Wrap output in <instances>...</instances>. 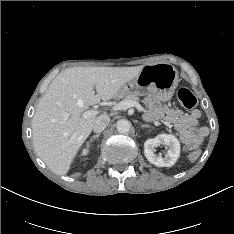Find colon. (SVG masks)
Returning a JSON list of instances; mask_svg holds the SVG:
<instances>
[{"mask_svg":"<svg viewBox=\"0 0 234 234\" xmlns=\"http://www.w3.org/2000/svg\"><path fill=\"white\" fill-rule=\"evenodd\" d=\"M178 102L185 108L191 109L196 105V97L194 94L187 88H181L177 92ZM201 151L197 147L190 148L189 158L190 160H196L199 158Z\"/></svg>","mask_w":234,"mask_h":234,"instance_id":"1","label":"colon"}]
</instances>
